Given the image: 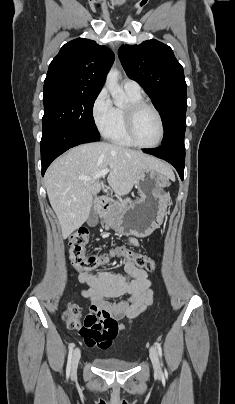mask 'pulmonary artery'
Instances as JSON below:
<instances>
[{
	"label": "pulmonary artery",
	"mask_w": 235,
	"mask_h": 404,
	"mask_svg": "<svg viewBox=\"0 0 235 404\" xmlns=\"http://www.w3.org/2000/svg\"><path fill=\"white\" fill-rule=\"evenodd\" d=\"M123 88L125 92L131 93V94H140L141 93V87L140 85L131 79H125L122 83Z\"/></svg>",
	"instance_id": "1"
}]
</instances>
